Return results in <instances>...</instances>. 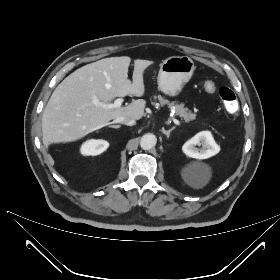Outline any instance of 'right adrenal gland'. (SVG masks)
Wrapping results in <instances>:
<instances>
[{"label": "right adrenal gland", "mask_w": 280, "mask_h": 280, "mask_svg": "<svg viewBox=\"0 0 280 280\" xmlns=\"http://www.w3.org/2000/svg\"><path fill=\"white\" fill-rule=\"evenodd\" d=\"M113 122H110V123H107L106 125L109 127V128H115V129H118L120 128V125H111Z\"/></svg>", "instance_id": "1"}]
</instances>
